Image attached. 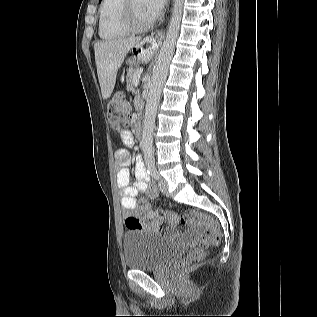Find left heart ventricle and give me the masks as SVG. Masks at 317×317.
I'll list each match as a JSON object with an SVG mask.
<instances>
[{
	"label": "left heart ventricle",
	"mask_w": 317,
	"mask_h": 317,
	"mask_svg": "<svg viewBox=\"0 0 317 317\" xmlns=\"http://www.w3.org/2000/svg\"><path fill=\"white\" fill-rule=\"evenodd\" d=\"M132 8L135 20L138 23H145L152 19L146 8L145 0H132Z\"/></svg>",
	"instance_id": "left-heart-ventricle-1"
}]
</instances>
